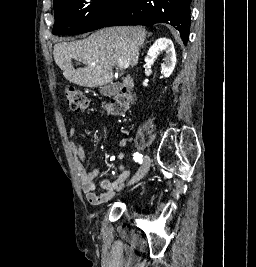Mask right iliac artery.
<instances>
[{
	"label": "right iliac artery",
	"instance_id": "right-iliac-artery-1",
	"mask_svg": "<svg viewBox=\"0 0 256 267\" xmlns=\"http://www.w3.org/2000/svg\"><path fill=\"white\" fill-rule=\"evenodd\" d=\"M133 156H134L133 159H134L136 162H138V163H140V164L142 163V157H143L142 154H139L138 152H136V153H134Z\"/></svg>",
	"mask_w": 256,
	"mask_h": 267
}]
</instances>
